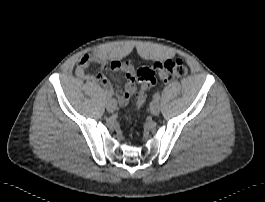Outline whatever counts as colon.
<instances>
[{
  "label": "colon",
  "mask_w": 265,
  "mask_h": 202,
  "mask_svg": "<svg viewBox=\"0 0 265 202\" xmlns=\"http://www.w3.org/2000/svg\"><path fill=\"white\" fill-rule=\"evenodd\" d=\"M188 68L181 59H168L155 62L153 65H143L136 70L135 77L139 83V91L136 93L134 104L135 112H138L143 104L146 91L157 83L158 78L165 82H172L184 77Z\"/></svg>",
  "instance_id": "1"
}]
</instances>
